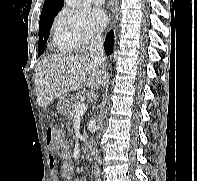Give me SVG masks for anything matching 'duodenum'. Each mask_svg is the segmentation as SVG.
Here are the masks:
<instances>
[{
	"mask_svg": "<svg viewBox=\"0 0 197 181\" xmlns=\"http://www.w3.org/2000/svg\"><path fill=\"white\" fill-rule=\"evenodd\" d=\"M84 151H85V155H86L87 157H92V155H93V150H92L91 147H86Z\"/></svg>",
	"mask_w": 197,
	"mask_h": 181,
	"instance_id": "obj_1",
	"label": "duodenum"
}]
</instances>
